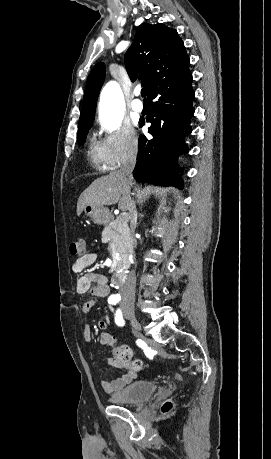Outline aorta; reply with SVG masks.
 <instances>
[{
	"instance_id": "762f6f07",
	"label": "aorta",
	"mask_w": 271,
	"mask_h": 459,
	"mask_svg": "<svg viewBox=\"0 0 271 459\" xmlns=\"http://www.w3.org/2000/svg\"><path fill=\"white\" fill-rule=\"evenodd\" d=\"M124 115V97L119 84L111 81L101 92L99 116L102 125L108 130L121 126Z\"/></svg>"
}]
</instances>
